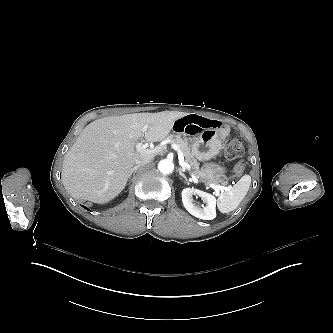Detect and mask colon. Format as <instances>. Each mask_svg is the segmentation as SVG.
I'll return each instance as SVG.
<instances>
[{
    "mask_svg": "<svg viewBox=\"0 0 333 333\" xmlns=\"http://www.w3.org/2000/svg\"><path fill=\"white\" fill-rule=\"evenodd\" d=\"M243 154V147L239 140L230 141L224 151L223 159L225 162H230L232 160L238 159ZM245 167L243 160H239L234 168L236 173L242 172Z\"/></svg>",
    "mask_w": 333,
    "mask_h": 333,
    "instance_id": "5ec220e1",
    "label": "colon"
}]
</instances>
